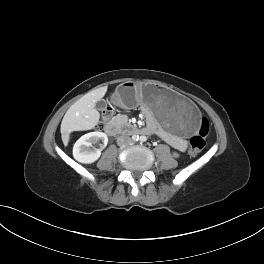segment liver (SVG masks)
<instances>
[{"instance_id":"obj_1","label":"liver","mask_w":264,"mask_h":264,"mask_svg":"<svg viewBox=\"0 0 264 264\" xmlns=\"http://www.w3.org/2000/svg\"><path fill=\"white\" fill-rule=\"evenodd\" d=\"M106 91L107 87L93 90L81 97L67 110L61 123L62 141L65 146L69 143L71 132L90 130L98 124L100 114L95 106Z\"/></svg>"}]
</instances>
